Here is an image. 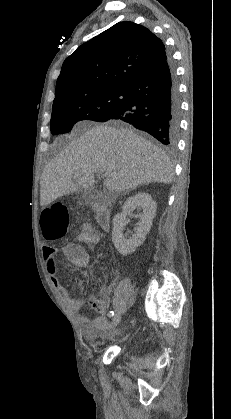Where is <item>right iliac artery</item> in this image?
<instances>
[{
	"mask_svg": "<svg viewBox=\"0 0 231 419\" xmlns=\"http://www.w3.org/2000/svg\"><path fill=\"white\" fill-rule=\"evenodd\" d=\"M114 315V312L113 311H110L109 313H108V316L109 317H112Z\"/></svg>",
	"mask_w": 231,
	"mask_h": 419,
	"instance_id": "82829eb1",
	"label": "right iliac artery"
}]
</instances>
